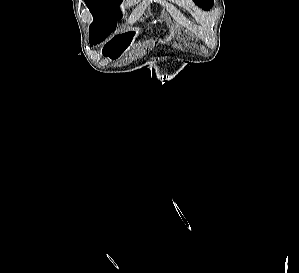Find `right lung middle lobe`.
<instances>
[{
	"label": "right lung middle lobe",
	"mask_w": 299,
	"mask_h": 273,
	"mask_svg": "<svg viewBox=\"0 0 299 273\" xmlns=\"http://www.w3.org/2000/svg\"><path fill=\"white\" fill-rule=\"evenodd\" d=\"M94 21L89 27L90 43L103 41L116 29L117 20L122 17L118 6L123 0H84Z\"/></svg>",
	"instance_id": "obj_1"
}]
</instances>
